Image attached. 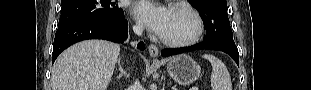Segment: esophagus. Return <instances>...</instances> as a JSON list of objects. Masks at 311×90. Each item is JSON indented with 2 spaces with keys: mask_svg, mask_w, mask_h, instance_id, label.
<instances>
[{
  "mask_svg": "<svg viewBox=\"0 0 311 90\" xmlns=\"http://www.w3.org/2000/svg\"><path fill=\"white\" fill-rule=\"evenodd\" d=\"M149 54L151 57L153 58H157L158 57V54H159V49L156 45L154 44H150L149 45Z\"/></svg>",
  "mask_w": 311,
  "mask_h": 90,
  "instance_id": "esophagus-1",
  "label": "esophagus"
}]
</instances>
